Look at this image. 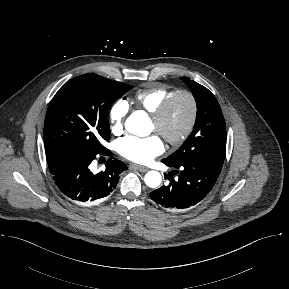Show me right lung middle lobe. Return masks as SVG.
<instances>
[{
	"instance_id": "obj_1",
	"label": "right lung middle lobe",
	"mask_w": 289,
	"mask_h": 289,
	"mask_svg": "<svg viewBox=\"0 0 289 289\" xmlns=\"http://www.w3.org/2000/svg\"><path fill=\"white\" fill-rule=\"evenodd\" d=\"M132 88L95 74H84L64 84L48 107L44 123L47 160L66 152L99 153L108 141L107 111Z\"/></svg>"
}]
</instances>
